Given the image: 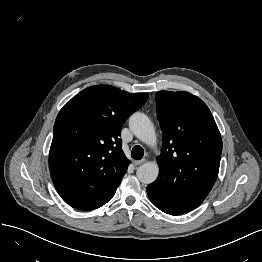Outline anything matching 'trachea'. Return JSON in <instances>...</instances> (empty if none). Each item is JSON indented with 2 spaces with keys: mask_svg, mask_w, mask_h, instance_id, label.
Returning <instances> with one entry per match:
<instances>
[{
  "mask_svg": "<svg viewBox=\"0 0 262 262\" xmlns=\"http://www.w3.org/2000/svg\"><path fill=\"white\" fill-rule=\"evenodd\" d=\"M143 156H144V149L139 145L134 146L132 149V158L136 160H140L143 158Z\"/></svg>",
  "mask_w": 262,
  "mask_h": 262,
  "instance_id": "trachea-1",
  "label": "trachea"
}]
</instances>
